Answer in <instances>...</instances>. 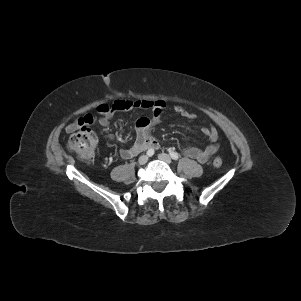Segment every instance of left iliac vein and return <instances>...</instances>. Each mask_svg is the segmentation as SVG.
I'll use <instances>...</instances> for the list:
<instances>
[{
  "instance_id": "obj_1",
  "label": "left iliac vein",
  "mask_w": 301,
  "mask_h": 301,
  "mask_svg": "<svg viewBox=\"0 0 301 301\" xmlns=\"http://www.w3.org/2000/svg\"><path fill=\"white\" fill-rule=\"evenodd\" d=\"M158 158L164 162H166L167 164H171L172 160L171 157L168 154L165 153H160L158 155Z\"/></svg>"
}]
</instances>
